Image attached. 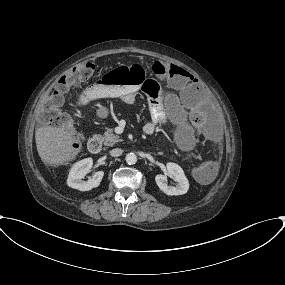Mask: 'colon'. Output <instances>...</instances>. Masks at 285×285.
<instances>
[{"label":"colon","mask_w":285,"mask_h":285,"mask_svg":"<svg viewBox=\"0 0 285 285\" xmlns=\"http://www.w3.org/2000/svg\"><path fill=\"white\" fill-rule=\"evenodd\" d=\"M148 67L159 78L176 80L182 70L175 65H168L161 62H150ZM96 67L90 61H83L73 67L48 92L47 96L40 104V115L43 119L54 122L65 120L64 97L72 86L89 79L95 74ZM145 70L139 63H131L119 67L113 71L104 74L100 80L103 87H121L129 83L141 84L142 90L149 98L157 99L159 97V86L154 81L144 82ZM190 121L196 127L200 128L203 124L202 115L199 110L190 111ZM80 148V143L73 145L74 152ZM189 158L198 159L194 153L188 154ZM216 172V166L209 162L200 161L193 170L195 177L203 182L211 180Z\"/></svg>","instance_id":"colon-1"}]
</instances>
